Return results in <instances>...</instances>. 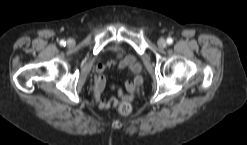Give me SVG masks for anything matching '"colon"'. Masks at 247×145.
Here are the masks:
<instances>
[{
	"instance_id": "1",
	"label": "colon",
	"mask_w": 247,
	"mask_h": 145,
	"mask_svg": "<svg viewBox=\"0 0 247 145\" xmlns=\"http://www.w3.org/2000/svg\"><path fill=\"white\" fill-rule=\"evenodd\" d=\"M118 110L121 114L123 115H128L131 113L132 111V106L128 101H122L119 106H118Z\"/></svg>"
}]
</instances>
